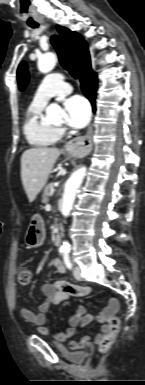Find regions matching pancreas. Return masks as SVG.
Segmentation results:
<instances>
[{"mask_svg": "<svg viewBox=\"0 0 145 385\" xmlns=\"http://www.w3.org/2000/svg\"><path fill=\"white\" fill-rule=\"evenodd\" d=\"M52 189L51 185H47L44 188L43 195H42V202L47 203L49 201L50 191Z\"/></svg>", "mask_w": 145, "mask_h": 385, "instance_id": "1", "label": "pancreas"}]
</instances>
